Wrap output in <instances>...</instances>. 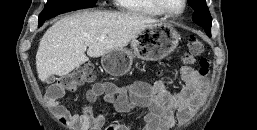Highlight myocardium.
Instances as JSON below:
<instances>
[{"label": "myocardium", "instance_id": "obj_1", "mask_svg": "<svg viewBox=\"0 0 257 130\" xmlns=\"http://www.w3.org/2000/svg\"><path fill=\"white\" fill-rule=\"evenodd\" d=\"M154 4L156 5V7L165 15L171 16V17H175V16H179L181 15L186 7H187V0H182V8L180 11L178 12H172L170 10H168L164 3L162 2V0H153Z\"/></svg>", "mask_w": 257, "mask_h": 130}]
</instances>
